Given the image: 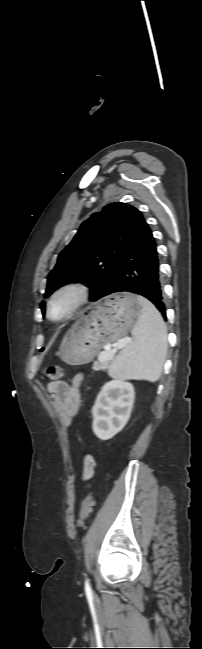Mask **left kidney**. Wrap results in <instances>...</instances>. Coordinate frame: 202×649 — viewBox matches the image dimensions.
<instances>
[{"instance_id": "5707ae66", "label": "left kidney", "mask_w": 202, "mask_h": 649, "mask_svg": "<svg viewBox=\"0 0 202 649\" xmlns=\"http://www.w3.org/2000/svg\"><path fill=\"white\" fill-rule=\"evenodd\" d=\"M134 398V386L129 382L116 378L104 384L92 409V428L99 439H111L124 428Z\"/></svg>"}]
</instances>
